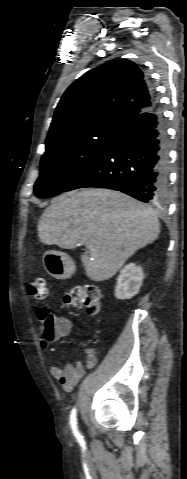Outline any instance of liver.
Here are the masks:
<instances>
[{"instance_id": "6515ba94", "label": "liver", "mask_w": 187, "mask_h": 479, "mask_svg": "<svg viewBox=\"0 0 187 479\" xmlns=\"http://www.w3.org/2000/svg\"><path fill=\"white\" fill-rule=\"evenodd\" d=\"M154 210L121 192L87 188L63 194L46 208L38 224L45 245L74 249L85 245L81 261L93 281L108 280L137 250L159 236Z\"/></svg>"}]
</instances>
